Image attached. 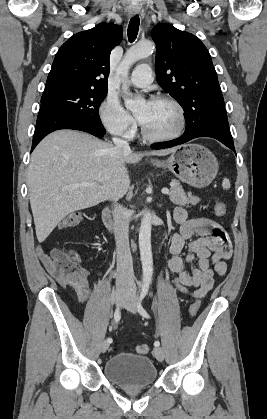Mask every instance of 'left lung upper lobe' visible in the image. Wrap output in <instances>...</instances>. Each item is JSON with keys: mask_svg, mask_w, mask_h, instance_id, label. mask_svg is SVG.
<instances>
[{"mask_svg": "<svg viewBox=\"0 0 267 419\" xmlns=\"http://www.w3.org/2000/svg\"><path fill=\"white\" fill-rule=\"evenodd\" d=\"M152 39L157 82L182 106L186 125L211 111L226 114L211 56L200 39L169 24L156 25Z\"/></svg>", "mask_w": 267, "mask_h": 419, "instance_id": "left-lung-upper-lobe-1", "label": "left lung upper lobe"}]
</instances>
